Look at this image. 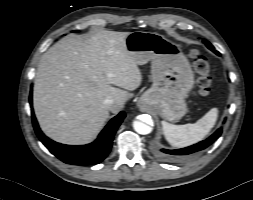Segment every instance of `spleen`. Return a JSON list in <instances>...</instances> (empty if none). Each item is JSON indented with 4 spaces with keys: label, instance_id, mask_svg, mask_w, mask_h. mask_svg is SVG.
<instances>
[{
    "label": "spleen",
    "instance_id": "1",
    "mask_svg": "<svg viewBox=\"0 0 253 200\" xmlns=\"http://www.w3.org/2000/svg\"><path fill=\"white\" fill-rule=\"evenodd\" d=\"M217 118L218 109L212 108L194 124L173 125L162 121V129L171 146L183 148L203 140L214 127Z\"/></svg>",
    "mask_w": 253,
    "mask_h": 200
}]
</instances>
